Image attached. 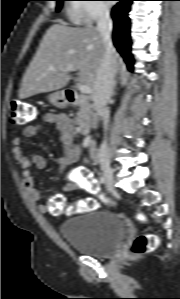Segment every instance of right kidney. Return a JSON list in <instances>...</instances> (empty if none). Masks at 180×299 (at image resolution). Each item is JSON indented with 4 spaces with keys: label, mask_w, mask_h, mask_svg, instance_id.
Masks as SVG:
<instances>
[{
    "label": "right kidney",
    "mask_w": 180,
    "mask_h": 299,
    "mask_svg": "<svg viewBox=\"0 0 180 299\" xmlns=\"http://www.w3.org/2000/svg\"><path fill=\"white\" fill-rule=\"evenodd\" d=\"M89 143H90V136H87L84 140L83 146L87 147V146H89Z\"/></svg>",
    "instance_id": "1"
}]
</instances>
